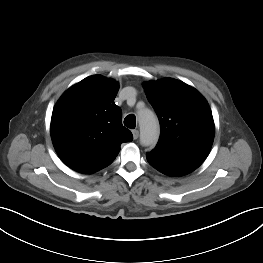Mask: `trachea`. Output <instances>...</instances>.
Here are the masks:
<instances>
[{
	"label": "trachea",
	"instance_id": "obj_1",
	"mask_svg": "<svg viewBox=\"0 0 263 263\" xmlns=\"http://www.w3.org/2000/svg\"><path fill=\"white\" fill-rule=\"evenodd\" d=\"M124 125L130 129H134L136 126V117L133 114H129L124 119Z\"/></svg>",
	"mask_w": 263,
	"mask_h": 263
}]
</instances>
